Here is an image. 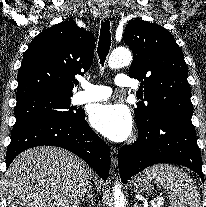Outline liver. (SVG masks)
<instances>
[{
	"mask_svg": "<svg viewBox=\"0 0 206 207\" xmlns=\"http://www.w3.org/2000/svg\"><path fill=\"white\" fill-rule=\"evenodd\" d=\"M92 178L101 186L92 169L74 154L40 146L22 152L11 163L4 191L8 207H78Z\"/></svg>",
	"mask_w": 206,
	"mask_h": 207,
	"instance_id": "6515ba94",
	"label": "liver"
}]
</instances>
